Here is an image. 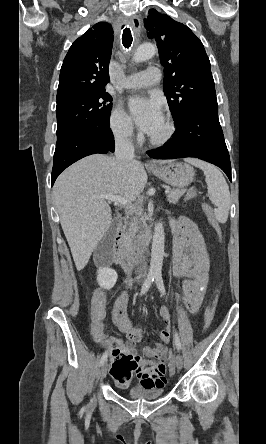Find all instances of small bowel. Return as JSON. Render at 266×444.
<instances>
[{
  "label": "small bowel",
  "mask_w": 266,
  "mask_h": 444,
  "mask_svg": "<svg viewBox=\"0 0 266 444\" xmlns=\"http://www.w3.org/2000/svg\"><path fill=\"white\" fill-rule=\"evenodd\" d=\"M175 234V252L172 269L176 276L184 278L181 299L191 314L199 311L209 280V260L204 247L202 236L197 227L187 218H180L172 222ZM129 297L126 292L121 293L112 308V318L118 329L125 333L126 342L109 336L103 331V320L106 315V293L98 288L91 300L90 332L95 341L110 347L112 361L110 374L119 388L126 389L131 385L134 376L139 380L140 387L152 389L163 388L166 384V363L168 344L171 336L170 313L166 307H161L159 314L165 323V328L158 333L162 341L147 349V354L155 359L151 367L137 355V343L143 337V330L131 324L126 314V305Z\"/></svg>",
  "instance_id": "1"
}]
</instances>
